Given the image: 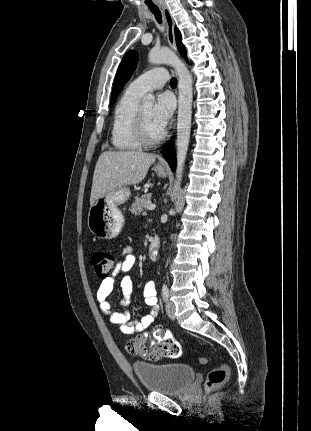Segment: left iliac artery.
<instances>
[{"instance_id":"1","label":"left iliac artery","mask_w":311,"mask_h":431,"mask_svg":"<svg viewBox=\"0 0 311 431\" xmlns=\"http://www.w3.org/2000/svg\"><path fill=\"white\" fill-rule=\"evenodd\" d=\"M162 297H163V300H164L165 302H167V301H168V298H169V290H168L167 285H165V284H163V286H162Z\"/></svg>"}]
</instances>
